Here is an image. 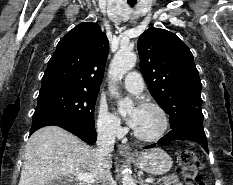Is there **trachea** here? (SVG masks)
Wrapping results in <instances>:
<instances>
[{"label":"trachea","mask_w":233,"mask_h":185,"mask_svg":"<svg viewBox=\"0 0 233 185\" xmlns=\"http://www.w3.org/2000/svg\"><path fill=\"white\" fill-rule=\"evenodd\" d=\"M131 7H133L135 5V3H129Z\"/></svg>","instance_id":"3493384b"}]
</instances>
